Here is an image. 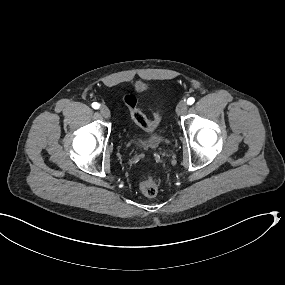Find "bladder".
Returning a JSON list of instances; mask_svg holds the SVG:
<instances>
[{
	"label": "bladder",
	"mask_w": 285,
	"mask_h": 285,
	"mask_svg": "<svg viewBox=\"0 0 285 285\" xmlns=\"http://www.w3.org/2000/svg\"><path fill=\"white\" fill-rule=\"evenodd\" d=\"M126 141L143 148H157L167 141V129L165 126H162L158 130L152 132L149 136H136L129 133L126 137Z\"/></svg>",
	"instance_id": "bladder-1"
}]
</instances>
